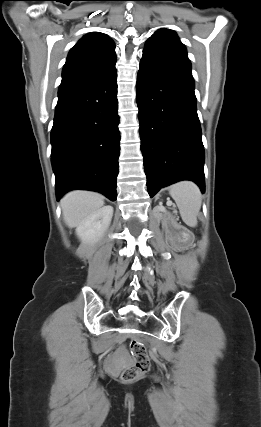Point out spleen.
Masks as SVG:
<instances>
[{"mask_svg": "<svg viewBox=\"0 0 261 427\" xmlns=\"http://www.w3.org/2000/svg\"><path fill=\"white\" fill-rule=\"evenodd\" d=\"M169 193L178 206L183 222L189 227L197 226L202 203L198 186L193 182L183 181L172 185Z\"/></svg>", "mask_w": 261, "mask_h": 427, "instance_id": "spleen-1", "label": "spleen"}]
</instances>
